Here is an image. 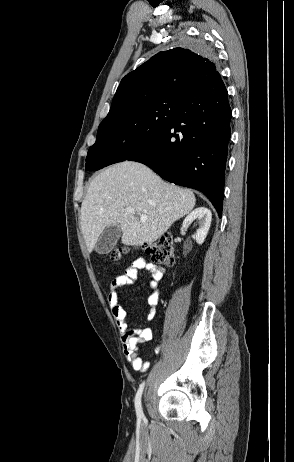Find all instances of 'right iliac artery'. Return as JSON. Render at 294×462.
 I'll return each mask as SVG.
<instances>
[{
    "instance_id": "right-iliac-artery-1",
    "label": "right iliac artery",
    "mask_w": 294,
    "mask_h": 462,
    "mask_svg": "<svg viewBox=\"0 0 294 462\" xmlns=\"http://www.w3.org/2000/svg\"><path fill=\"white\" fill-rule=\"evenodd\" d=\"M144 385H145V382H143L137 393H136V396H135V409H136V414H137V417L139 419L143 418L144 414H143V410H142V405H141V397H142V392H143V389H144Z\"/></svg>"
}]
</instances>
